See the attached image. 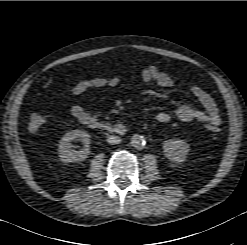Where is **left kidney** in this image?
Instances as JSON below:
<instances>
[{"instance_id": "5707ae66", "label": "left kidney", "mask_w": 247, "mask_h": 245, "mask_svg": "<svg viewBox=\"0 0 247 245\" xmlns=\"http://www.w3.org/2000/svg\"><path fill=\"white\" fill-rule=\"evenodd\" d=\"M189 151V144L183 140L169 139L163 142L164 155L172 162H184Z\"/></svg>"}]
</instances>
